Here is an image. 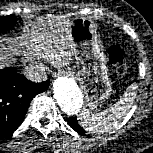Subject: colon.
I'll return each mask as SVG.
<instances>
[{"mask_svg":"<svg viewBox=\"0 0 153 153\" xmlns=\"http://www.w3.org/2000/svg\"><path fill=\"white\" fill-rule=\"evenodd\" d=\"M109 62L113 68L118 72H124L128 68L127 59L122 49L116 45L109 48L108 51Z\"/></svg>","mask_w":153,"mask_h":153,"instance_id":"obj_1","label":"colon"}]
</instances>
